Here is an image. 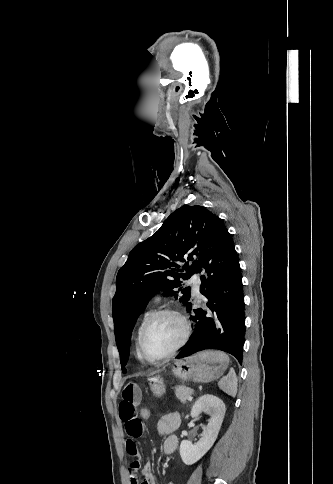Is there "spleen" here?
<instances>
[{"instance_id":"3e777b00","label":"spleen","mask_w":333,"mask_h":484,"mask_svg":"<svg viewBox=\"0 0 333 484\" xmlns=\"http://www.w3.org/2000/svg\"><path fill=\"white\" fill-rule=\"evenodd\" d=\"M218 385L226 394L235 397L237 394V376L235 371L231 369L226 376L220 379Z\"/></svg>"}]
</instances>
